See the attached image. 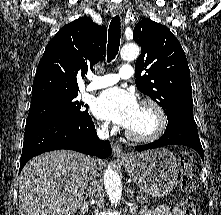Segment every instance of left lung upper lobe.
Listing matches in <instances>:
<instances>
[{
	"label": "left lung upper lobe",
	"mask_w": 221,
	"mask_h": 215,
	"mask_svg": "<svg viewBox=\"0 0 221 215\" xmlns=\"http://www.w3.org/2000/svg\"><path fill=\"white\" fill-rule=\"evenodd\" d=\"M133 39L142 49L135 64L137 88L163 108L168 122L194 120L190 70L177 38L166 26L144 18Z\"/></svg>",
	"instance_id": "5c2ea615"
}]
</instances>
